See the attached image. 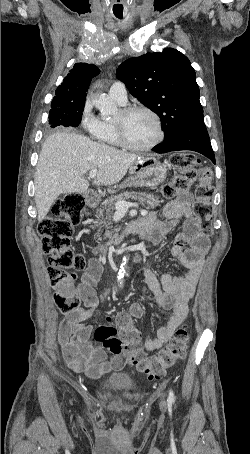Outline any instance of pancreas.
Returning <instances> with one entry per match:
<instances>
[{"mask_svg": "<svg viewBox=\"0 0 250 454\" xmlns=\"http://www.w3.org/2000/svg\"><path fill=\"white\" fill-rule=\"evenodd\" d=\"M139 199L141 201H145L147 203V209H154L156 206L159 205V200L155 198L151 194L146 193H136V192H124L121 193L113 198H108L102 203V208H98L97 212L99 213V217L103 218V213L106 212L109 215V221H101V223L110 226L111 225V210L114 209V201L118 200H125V199ZM110 228V227H109ZM117 230H108L105 232V238L113 240L116 237Z\"/></svg>", "mask_w": 250, "mask_h": 454, "instance_id": "1", "label": "pancreas"}]
</instances>
